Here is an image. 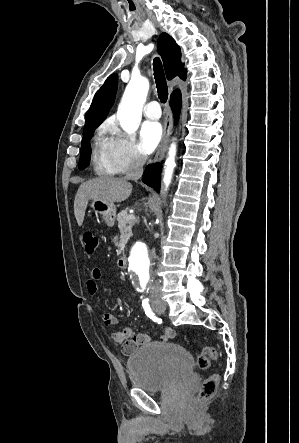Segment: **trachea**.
<instances>
[{"label":"trachea","mask_w":299,"mask_h":443,"mask_svg":"<svg viewBox=\"0 0 299 443\" xmlns=\"http://www.w3.org/2000/svg\"><path fill=\"white\" fill-rule=\"evenodd\" d=\"M153 70L158 97L162 103H165L168 98V87L165 79L164 69L159 58L154 59Z\"/></svg>","instance_id":"trachea-1"}]
</instances>
